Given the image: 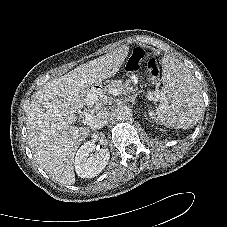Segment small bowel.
Masks as SVG:
<instances>
[{
  "label": "small bowel",
  "instance_id": "1",
  "mask_svg": "<svg viewBox=\"0 0 227 227\" xmlns=\"http://www.w3.org/2000/svg\"><path fill=\"white\" fill-rule=\"evenodd\" d=\"M131 81L135 83L136 82V77L135 76H132L131 77Z\"/></svg>",
  "mask_w": 227,
  "mask_h": 227
}]
</instances>
